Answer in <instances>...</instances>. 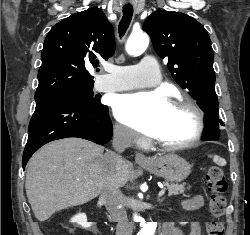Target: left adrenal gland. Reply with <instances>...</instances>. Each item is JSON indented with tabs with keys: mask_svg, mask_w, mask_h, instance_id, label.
Masks as SVG:
<instances>
[{
	"mask_svg": "<svg viewBox=\"0 0 250 235\" xmlns=\"http://www.w3.org/2000/svg\"><path fill=\"white\" fill-rule=\"evenodd\" d=\"M158 201H159V202H162V201H163V199H159Z\"/></svg>",
	"mask_w": 250,
	"mask_h": 235,
	"instance_id": "left-adrenal-gland-1",
	"label": "left adrenal gland"
}]
</instances>
